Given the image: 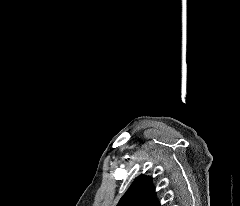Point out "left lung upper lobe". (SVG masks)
<instances>
[{"label": "left lung upper lobe", "instance_id": "obj_1", "mask_svg": "<svg viewBox=\"0 0 240 206\" xmlns=\"http://www.w3.org/2000/svg\"><path fill=\"white\" fill-rule=\"evenodd\" d=\"M117 206H160L152 179L143 175L137 177Z\"/></svg>", "mask_w": 240, "mask_h": 206}]
</instances>
